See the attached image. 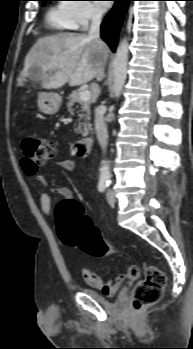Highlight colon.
<instances>
[{"label": "colon", "instance_id": "1", "mask_svg": "<svg viewBox=\"0 0 193 349\" xmlns=\"http://www.w3.org/2000/svg\"><path fill=\"white\" fill-rule=\"evenodd\" d=\"M21 149L26 163L38 169L40 165L53 158L55 144L48 139L25 136ZM56 223L61 240L81 249L92 256H103L118 253L119 250L107 242L91 220L84 215L81 206L73 200H64L56 207ZM166 276L155 266L144 268V278L134 290L133 307L140 311L158 302L163 294Z\"/></svg>", "mask_w": 193, "mask_h": 349}]
</instances>
